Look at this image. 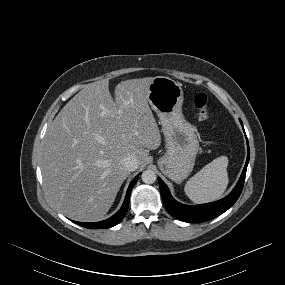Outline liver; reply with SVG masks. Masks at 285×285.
Wrapping results in <instances>:
<instances>
[{
	"label": "liver",
	"instance_id": "liver-1",
	"mask_svg": "<svg viewBox=\"0 0 285 285\" xmlns=\"http://www.w3.org/2000/svg\"><path fill=\"white\" fill-rule=\"evenodd\" d=\"M152 81L120 82L115 100L107 80L85 85L47 129L41 154L44 187L67 217L86 222L103 218L130 174L122 158L133 155L142 166L149 151L160 146L148 104Z\"/></svg>",
	"mask_w": 285,
	"mask_h": 285
}]
</instances>
